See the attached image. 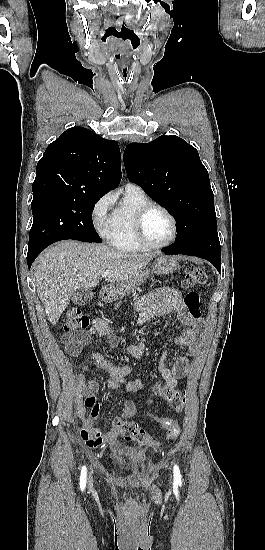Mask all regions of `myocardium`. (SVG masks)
Masks as SVG:
<instances>
[{"label": "myocardium", "mask_w": 265, "mask_h": 550, "mask_svg": "<svg viewBox=\"0 0 265 550\" xmlns=\"http://www.w3.org/2000/svg\"><path fill=\"white\" fill-rule=\"evenodd\" d=\"M153 210H160V211L164 212L169 217V219L171 221V226H172L171 236L166 242H164L162 244H153V243H151L147 239L146 234H145V227H144L145 219H146L147 215ZM134 231H135V236H136L138 242L140 243V245L142 247H144L146 249H151V250L163 249L165 247L170 246L175 241V239L177 237V233H178L177 220H176L175 216L173 215V213L169 209H167L166 207H164L160 204H156V203H149V204L143 206L137 212L135 220H134Z\"/></svg>", "instance_id": "obj_1"}]
</instances>
